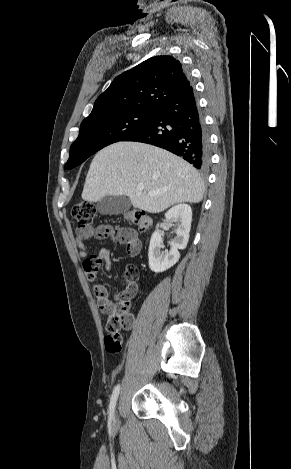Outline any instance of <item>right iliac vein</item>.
Listing matches in <instances>:
<instances>
[{
  "label": "right iliac vein",
  "instance_id": "1",
  "mask_svg": "<svg viewBox=\"0 0 291 469\" xmlns=\"http://www.w3.org/2000/svg\"><path fill=\"white\" fill-rule=\"evenodd\" d=\"M118 421V410L115 411L114 416H113V423L114 425L117 424Z\"/></svg>",
  "mask_w": 291,
  "mask_h": 469
}]
</instances>
